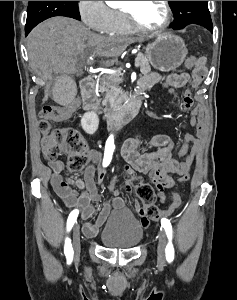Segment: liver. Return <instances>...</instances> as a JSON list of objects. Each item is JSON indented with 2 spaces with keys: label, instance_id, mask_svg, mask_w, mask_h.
I'll return each mask as SVG.
<instances>
[{
  "label": "liver",
  "instance_id": "6515ba94",
  "mask_svg": "<svg viewBox=\"0 0 237 300\" xmlns=\"http://www.w3.org/2000/svg\"><path fill=\"white\" fill-rule=\"evenodd\" d=\"M135 37H102L87 29L80 21L52 17L37 25L27 37L31 67L51 77L53 71L62 75L77 73L85 53L106 57V65H114Z\"/></svg>",
  "mask_w": 237,
  "mask_h": 300
}]
</instances>
